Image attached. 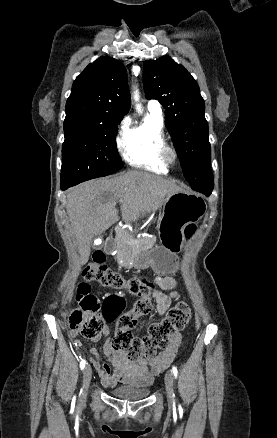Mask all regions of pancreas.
Listing matches in <instances>:
<instances>
[{
	"mask_svg": "<svg viewBox=\"0 0 277 438\" xmlns=\"http://www.w3.org/2000/svg\"><path fill=\"white\" fill-rule=\"evenodd\" d=\"M156 241L157 238L150 231H116L110 239H105L104 244L110 247L107 253H116L119 267H128V253H145Z\"/></svg>",
	"mask_w": 277,
	"mask_h": 438,
	"instance_id": "cf45deb5",
	"label": "pancreas"
}]
</instances>
